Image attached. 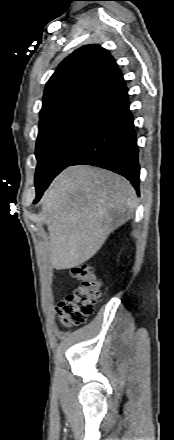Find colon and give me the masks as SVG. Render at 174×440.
Listing matches in <instances>:
<instances>
[{
	"label": "colon",
	"instance_id": "obj_1",
	"mask_svg": "<svg viewBox=\"0 0 174 440\" xmlns=\"http://www.w3.org/2000/svg\"><path fill=\"white\" fill-rule=\"evenodd\" d=\"M70 272L79 281V285L59 302L56 309L62 324L78 327L85 324L93 312L94 303L101 295L102 281L89 264L74 265Z\"/></svg>",
	"mask_w": 174,
	"mask_h": 440
}]
</instances>
